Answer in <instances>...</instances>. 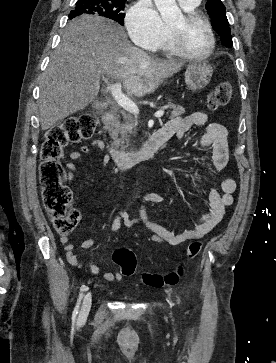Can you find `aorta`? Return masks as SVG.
<instances>
[{
    "instance_id": "1",
    "label": "aorta",
    "mask_w": 276,
    "mask_h": 363,
    "mask_svg": "<svg viewBox=\"0 0 276 363\" xmlns=\"http://www.w3.org/2000/svg\"><path fill=\"white\" fill-rule=\"evenodd\" d=\"M162 20L168 24L180 20L183 15L175 0H154Z\"/></svg>"
}]
</instances>
